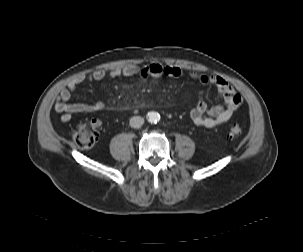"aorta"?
Wrapping results in <instances>:
<instances>
[{"label":"aorta","instance_id":"762f6f07","mask_svg":"<svg viewBox=\"0 0 303 252\" xmlns=\"http://www.w3.org/2000/svg\"><path fill=\"white\" fill-rule=\"evenodd\" d=\"M147 119L150 123L156 124L160 120V115L157 112H149L147 114Z\"/></svg>","mask_w":303,"mask_h":252}]
</instances>
